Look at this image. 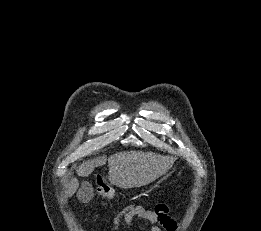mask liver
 Here are the masks:
<instances>
[{"label": "liver", "mask_w": 261, "mask_h": 231, "mask_svg": "<svg viewBox=\"0 0 261 231\" xmlns=\"http://www.w3.org/2000/svg\"><path fill=\"white\" fill-rule=\"evenodd\" d=\"M108 161L109 180L119 188H134L145 186L160 176L166 174L174 164L175 158L152 152L124 151L111 155L96 157L81 164L77 174L89 176L96 167L103 166ZM79 187L76 178L67 185V195L71 197Z\"/></svg>", "instance_id": "obj_1"}]
</instances>
